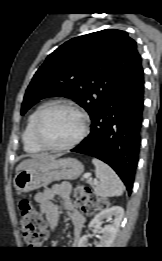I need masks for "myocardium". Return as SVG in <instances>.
I'll return each instance as SVG.
<instances>
[{
    "label": "myocardium",
    "instance_id": "1",
    "mask_svg": "<svg viewBox=\"0 0 162 261\" xmlns=\"http://www.w3.org/2000/svg\"><path fill=\"white\" fill-rule=\"evenodd\" d=\"M56 109H68L76 113L81 119V130L75 139L64 145H52L47 143L42 136V125L46 116ZM89 131V117L85 111L70 102H55L45 107L38 115L34 127V139L43 150L59 152L69 150L80 144Z\"/></svg>",
    "mask_w": 162,
    "mask_h": 261
}]
</instances>
